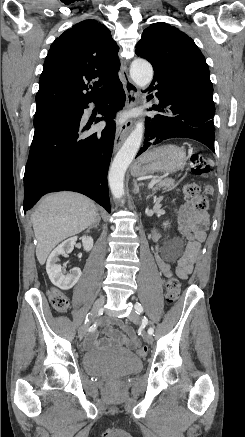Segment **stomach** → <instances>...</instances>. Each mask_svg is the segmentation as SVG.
Wrapping results in <instances>:
<instances>
[{
    "instance_id": "1",
    "label": "stomach",
    "mask_w": 245,
    "mask_h": 437,
    "mask_svg": "<svg viewBox=\"0 0 245 437\" xmlns=\"http://www.w3.org/2000/svg\"><path fill=\"white\" fill-rule=\"evenodd\" d=\"M186 154L175 145H163L143 154L133 165L134 177L146 176L155 172H173L184 168Z\"/></svg>"
}]
</instances>
